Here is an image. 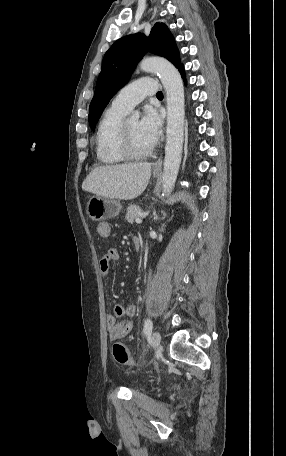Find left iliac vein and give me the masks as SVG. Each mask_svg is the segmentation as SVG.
Wrapping results in <instances>:
<instances>
[{
  "label": "left iliac vein",
  "instance_id": "4c4485c4",
  "mask_svg": "<svg viewBox=\"0 0 286 456\" xmlns=\"http://www.w3.org/2000/svg\"><path fill=\"white\" fill-rule=\"evenodd\" d=\"M160 340V333L158 331H154L151 336V344L154 349H157L159 347Z\"/></svg>",
  "mask_w": 286,
  "mask_h": 456
}]
</instances>
